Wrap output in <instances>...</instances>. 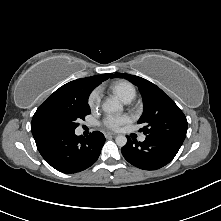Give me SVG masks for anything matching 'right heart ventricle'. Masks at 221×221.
I'll list each match as a JSON object with an SVG mask.
<instances>
[{"instance_id": "right-heart-ventricle-1", "label": "right heart ventricle", "mask_w": 221, "mask_h": 221, "mask_svg": "<svg viewBox=\"0 0 221 221\" xmlns=\"http://www.w3.org/2000/svg\"><path fill=\"white\" fill-rule=\"evenodd\" d=\"M110 90L123 102H130L136 96L134 85L127 80H117L111 83Z\"/></svg>"}]
</instances>
